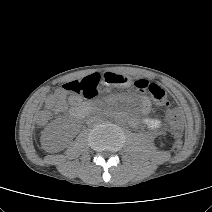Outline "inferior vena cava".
Instances as JSON below:
<instances>
[{
	"label": "inferior vena cava",
	"mask_w": 212,
	"mask_h": 212,
	"mask_svg": "<svg viewBox=\"0 0 212 212\" xmlns=\"http://www.w3.org/2000/svg\"><path fill=\"white\" fill-rule=\"evenodd\" d=\"M94 120H96V117H89V118H88V122H89V123H92Z\"/></svg>",
	"instance_id": "602c4592"
}]
</instances>
